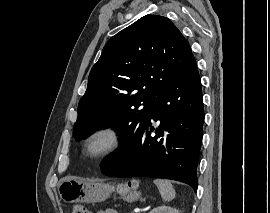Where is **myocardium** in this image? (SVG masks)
Instances as JSON below:
<instances>
[{"mask_svg": "<svg viewBox=\"0 0 270 213\" xmlns=\"http://www.w3.org/2000/svg\"><path fill=\"white\" fill-rule=\"evenodd\" d=\"M122 132L114 125L105 124L91 129L82 140V151L91 159H102L119 149Z\"/></svg>", "mask_w": 270, "mask_h": 213, "instance_id": "1", "label": "myocardium"}]
</instances>
